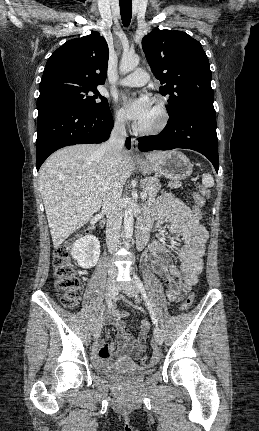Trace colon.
I'll return each mask as SVG.
<instances>
[{
	"mask_svg": "<svg viewBox=\"0 0 259 431\" xmlns=\"http://www.w3.org/2000/svg\"><path fill=\"white\" fill-rule=\"evenodd\" d=\"M209 197V191L199 186L198 192L194 195V203L191 208L193 210V217L196 220L201 219L203 211L201 206L204 205L205 200ZM73 245L72 241L66 242L63 246L57 248L53 258V275L55 287L58 292L61 303L66 307H75L82 296V285L78 272L70 258V248ZM193 295L187 296L182 304L181 310L188 311L193 304ZM149 357L144 356L141 359L142 365L149 364Z\"/></svg>",
	"mask_w": 259,
	"mask_h": 431,
	"instance_id": "obj_1",
	"label": "colon"
}]
</instances>
